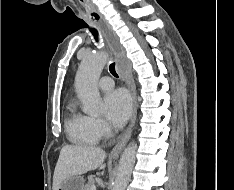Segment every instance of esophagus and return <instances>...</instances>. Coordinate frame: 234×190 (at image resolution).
<instances>
[{"label":"esophagus","instance_id":"esophagus-1","mask_svg":"<svg viewBox=\"0 0 234 190\" xmlns=\"http://www.w3.org/2000/svg\"><path fill=\"white\" fill-rule=\"evenodd\" d=\"M99 26L107 40V43L111 51L114 54L116 61H119L120 59L124 58L125 53H124L123 47L121 46L119 42V38L113 31L112 27L102 18L99 20ZM124 79L132 96V103H133L132 116H131L130 124L128 128L126 129L125 133L121 136L118 143L112 149L110 153L111 158H117L119 154L121 153V151L123 150V148L125 147V145L127 144L132 134L135 121H136V116H137L136 87H135V83H134L130 70H126L124 74Z\"/></svg>","mask_w":234,"mask_h":190}]
</instances>
